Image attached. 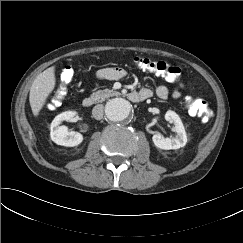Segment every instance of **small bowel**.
<instances>
[{"label":"small bowel","mask_w":243,"mask_h":243,"mask_svg":"<svg viewBox=\"0 0 243 243\" xmlns=\"http://www.w3.org/2000/svg\"><path fill=\"white\" fill-rule=\"evenodd\" d=\"M125 75H126V71L120 67H107V68L100 69L97 72V78L99 80H117L125 77ZM183 87H184L183 84H180L171 93V96L174 99H179L182 96ZM135 92L145 95L146 99L153 95V92L146 87H142ZM155 93L160 99H167L170 96L169 88L165 84H159L155 89Z\"/></svg>","instance_id":"c3829d8e"}]
</instances>
